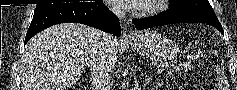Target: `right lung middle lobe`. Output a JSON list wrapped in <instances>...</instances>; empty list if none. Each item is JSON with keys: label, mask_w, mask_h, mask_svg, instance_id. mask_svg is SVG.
<instances>
[{"label": "right lung middle lobe", "mask_w": 237, "mask_h": 90, "mask_svg": "<svg viewBox=\"0 0 237 90\" xmlns=\"http://www.w3.org/2000/svg\"><path fill=\"white\" fill-rule=\"evenodd\" d=\"M64 4H68V3H60V4H37L35 11H40V10H43V9L55 7V6H58V5H64Z\"/></svg>", "instance_id": "right-lung-middle-lobe-1"}]
</instances>
